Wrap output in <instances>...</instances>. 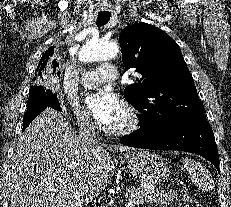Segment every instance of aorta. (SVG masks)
Wrapping results in <instances>:
<instances>
[{"mask_svg": "<svg viewBox=\"0 0 231 207\" xmlns=\"http://www.w3.org/2000/svg\"><path fill=\"white\" fill-rule=\"evenodd\" d=\"M119 48L114 43L106 42L102 39L88 40L81 48L78 59L88 63L94 61L110 60L117 57Z\"/></svg>", "mask_w": 231, "mask_h": 207, "instance_id": "1", "label": "aorta"}]
</instances>
